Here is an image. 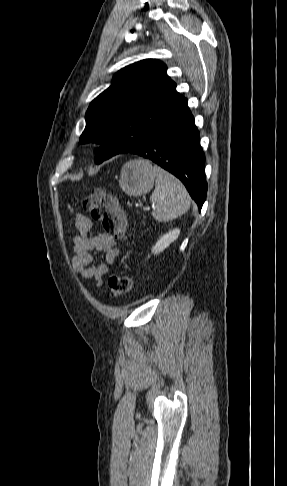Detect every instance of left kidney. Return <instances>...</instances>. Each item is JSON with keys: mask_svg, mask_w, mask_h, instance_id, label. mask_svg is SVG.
<instances>
[{"mask_svg": "<svg viewBox=\"0 0 287 486\" xmlns=\"http://www.w3.org/2000/svg\"><path fill=\"white\" fill-rule=\"evenodd\" d=\"M180 235V229H173L168 233L164 234L157 241L155 246L152 248V253L158 254L166 249L172 242H174Z\"/></svg>", "mask_w": 287, "mask_h": 486, "instance_id": "5707ae66", "label": "left kidney"}]
</instances>
